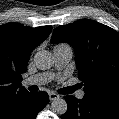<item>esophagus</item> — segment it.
Returning <instances> with one entry per match:
<instances>
[{
    "label": "esophagus",
    "mask_w": 119,
    "mask_h": 119,
    "mask_svg": "<svg viewBox=\"0 0 119 119\" xmlns=\"http://www.w3.org/2000/svg\"><path fill=\"white\" fill-rule=\"evenodd\" d=\"M59 97H60V96H59L58 94L54 93V92L49 93V98H50L51 101H52V100H56V99H58Z\"/></svg>",
    "instance_id": "esophagus-1"
}]
</instances>
